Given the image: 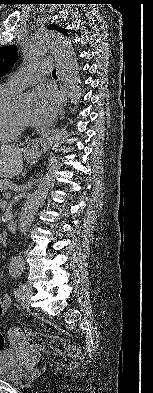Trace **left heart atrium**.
<instances>
[{
    "label": "left heart atrium",
    "instance_id": "39dd6f15",
    "mask_svg": "<svg viewBox=\"0 0 153 393\" xmlns=\"http://www.w3.org/2000/svg\"><path fill=\"white\" fill-rule=\"evenodd\" d=\"M60 98L56 91L42 88L34 92V101L29 116V121L33 126L49 125L58 112Z\"/></svg>",
    "mask_w": 153,
    "mask_h": 393
}]
</instances>
